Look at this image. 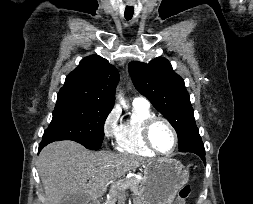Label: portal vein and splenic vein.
Listing matches in <instances>:
<instances>
[{
  "mask_svg": "<svg viewBox=\"0 0 253 204\" xmlns=\"http://www.w3.org/2000/svg\"><path fill=\"white\" fill-rule=\"evenodd\" d=\"M130 182L126 181L125 183L121 184V187L127 188L129 186Z\"/></svg>",
  "mask_w": 253,
  "mask_h": 204,
  "instance_id": "portal-vein-and-splenic-vein-1",
  "label": "portal vein and splenic vein"
}]
</instances>
